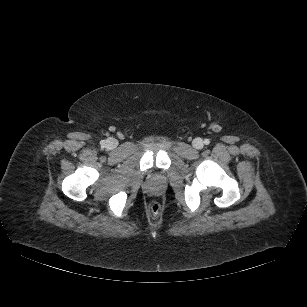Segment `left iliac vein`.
I'll list each match as a JSON object with an SVG mask.
<instances>
[{
  "label": "left iliac vein",
  "mask_w": 307,
  "mask_h": 307,
  "mask_svg": "<svg viewBox=\"0 0 307 307\" xmlns=\"http://www.w3.org/2000/svg\"><path fill=\"white\" fill-rule=\"evenodd\" d=\"M194 148L196 149H201L203 148L204 144H203V140L201 138H195L192 142Z\"/></svg>",
  "instance_id": "obj_1"
}]
</instances>
